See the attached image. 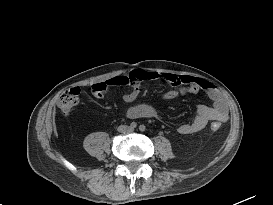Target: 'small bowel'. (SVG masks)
<instances>
[{"label":"small bowel","instance_id":"small-bowel-1","mask_svg":"<svg viewBox=\"0 0 273 205\" xmlns=\"http://www.w3.org/2000/svg\"><path fill=\"white\" fill-rule=\"evenodd\" d=\"M140 81H165L172 84L174 87L161 95V102L189 94H197L200 91L206 92L212 99V106L200 105L195 118L178 128L181 134L198 132L209 121L225 122L228 119V105L221 91L211 82L191 75L136 69L127 75H119L103 82L94 83L91 86V92L96 98H103L113 88L132 85L130 91L123 95L125 102L132 103L140 93L137 85ZM156 115V105L150 102L136 105L128 110V116L132 118L155 117Z\"/></svg>","mask_w":273,"mask_h":205}]
</instances>
